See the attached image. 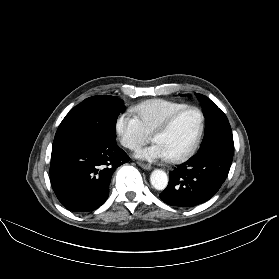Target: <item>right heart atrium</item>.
Wrapping results in <instances>:
<instances>
[{
	"label": "right heart atrium",
	"instance_id": "1",
	"mask_svg": "<svg viewBox=\"0 0 279 279\" xmlns=\"http://www.w3.org/2000/svg\"><path fill=\"white\" fill-rule=\"evenodd\" d=\"M115 133L127 149L136 150L149 139L139 118L130 111L122 112L115 121Z\"/></svg>",
	"mask_w": 279,
	"mask_h": 279
}]
</instances>
